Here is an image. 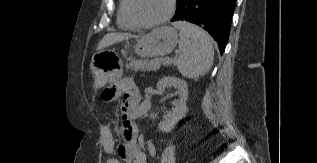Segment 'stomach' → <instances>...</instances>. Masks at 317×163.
Segmentation results:
<instances>
[{"mask_svg":"<svg viewBox=\"0 0 317 163\" xmlns=\"http://www.w3.org/2000/svg\"><path fill=\"white\" fill-rule=\"evenodd\" d=\"M178 42L177 31L170 26L154 29L149 34L137 40L134 47L135 53L142 58L164 56L173 51ZM104 51L96 53L90 64L93 75V88L95 90L112 83L120 76L121 70L110 67L102 61Z\"/></svg>","mask_w":317,"mask_h":163,"instance_id":"1","label":"stomach"}]
</instances>
